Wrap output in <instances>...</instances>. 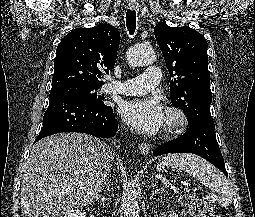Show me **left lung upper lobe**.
Instances as JSON below:
<instances>
[{
	"label": "left lung upper lobe",
	"mask_w": 255,
	"mask_h": 217,
	"mask_svg": "<svg viewBox=\"0 0 255 217\" xmlns=\"http://www.w3.org/2000/svg\"><path fill=\"white\" fill-rule=\"evenodd\" d=\"M154 32L170 76H175L170 82L172 104L184 111L189 126L199 121L213 122L204 36L188 26L170 27L164 22L158 23Z\"/></svg>",
	"instance_id": "1"
}]
</instances>
